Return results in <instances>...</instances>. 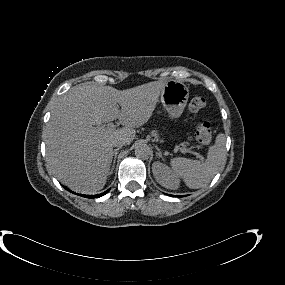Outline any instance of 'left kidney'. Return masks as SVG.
<instances>
[{
    "mask_svg": "<svg viewBox=\"0 0 285 285\" xmlns=\"http://www.w3.org/2000/svg\"><path fill=\"white\" fill-rule=\"evenodd\" d=\"M153 175L156 181L167 189H177L180 181L178 177L163 163L155 162L152 165Z\"/></svg>",
    "mask_w": 285,
    "mask_h": 285,
    "instance_id": "left-kidney-1",
    "label": "left kidney"
}]
</instances>
